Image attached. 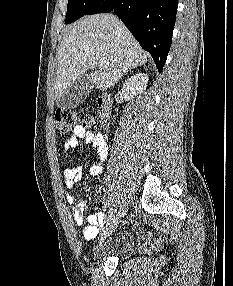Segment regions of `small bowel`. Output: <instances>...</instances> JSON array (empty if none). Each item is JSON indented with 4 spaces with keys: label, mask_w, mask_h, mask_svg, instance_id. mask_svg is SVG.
I'll return each instance as SVG.
<instances>
[{
    "label": "small bowel",
    "mask_w": 233,
    "mask_h": 286,
    "mask_svg": "<svg viewBox=\"0 0 233 286\" xmlns=\"http://www.w3.org/2000/svg\"><path fill=\"white\" fill-rule=\"evenodd\" d=\"M81 139L96 149L97 160L90 167V174L92 176H98L102 173L103 165L108 155L107 141L101 133L89 131L83 126H77L74 129L73 136L65 142V149L68 151L75 148ZM63 179L66 187L68 189H72L77 183L82 181L83 169L80 166L66 167L63 170ZM67 201L69 204L73 205L72 213L75 224L82 226L84 223V213L87 207L86 201L75 203L76 198L73 194H67ZM96 205H106V199L101 192L96 194ZM104 221L105 214L103 212L90 214L87 218V224L82 228L84 239L92 240L96 237L99 232V228L103 225Z\"/></svg>",
    "instance_id": "small-bowel-1"
}]
</instances>
